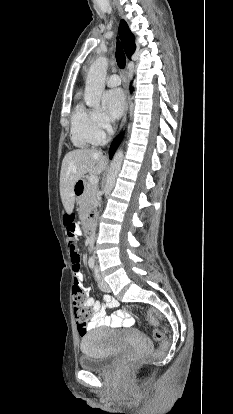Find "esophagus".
I'll use <instances>...</instances> for the list:
<instances>
[{
    "instance_id": "esophagus-1",
    "label": "esophagus",
    "mask_w": 233,
    "mask_h": 414,
    "mask_svg": "<svg viewBox=\"0 0 233 414\" xmlns=\"http://www.w3.org/2000/svg\"><path fill=\"white\" fill-rule=\"evenodd\" d=\"M127 72H128V68H127ZM125 90H126L125 111H124V117L121 123L120 131H122L126 127L128 119H129V115H130V110H131V96L129 93V76L126 79Z\"/></svg>"
}]
</instances>
